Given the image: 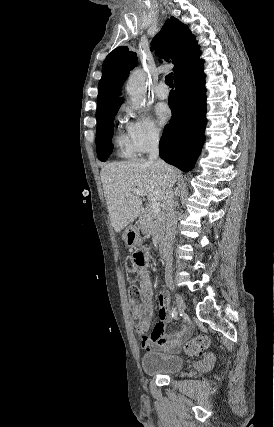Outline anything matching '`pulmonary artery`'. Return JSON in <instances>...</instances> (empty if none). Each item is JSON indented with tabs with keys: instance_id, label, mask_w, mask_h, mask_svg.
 <instances>
[{
	"instance_id": "pulmonary-artery-1",
	"label": "pulmonary artery",
	"mask_w": 274,
	"mask_h": 427,
	"mask_svg": "<svg viewBox=\"0 0 274 427\" xmlns=\"http://www.w3.org/2000/svg\"><path fill=\"white\" fill-rule=\"evenodd\" d=\"M169 93H170L169 87L165 83H159L155 87V94L160 99H167L169 97Z\"/></svg>"
}]
</instances>
